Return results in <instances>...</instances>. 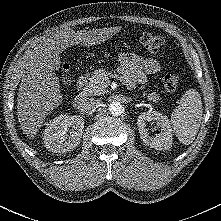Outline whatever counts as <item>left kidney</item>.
<instances>
[{
    "instance_id": "left-kidney-1",
    "label": "left kidney",
    "mask_w": 221,
    "mask_h": 221,
    "mask_svg": "<svg viewBox=\"0 0 221 221\" xmlns=\"http://www.w3.org/2000/svg\"><path fill=\"white\" fill-rule=\"evenodd\" d=\"M156 122L160 128V133L150 136L146 123ZM137 126L143 142L156 150H168L172 147L173 137L170 122L167 116L157 111H149L138 116Z\"/></svg>"
}]
</instances>
